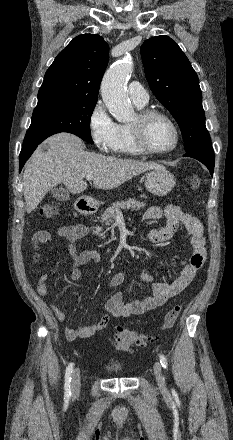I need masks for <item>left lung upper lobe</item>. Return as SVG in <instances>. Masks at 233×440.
<instances>
[{
  "label": "left lung upper lobe",
  "instance_id": "obj_1",
  "mask_svg": "<svg viewBox=\"0 0 233 440\" xmlns=\"http://www.w3.org/2000/svg\"><path fill=\"white\" fill-rule=\"evenodd\" d=\"M140 51L149 86L177 121L185 151L211 146L199 79L186 55L168 36L146 40Z\"/></svg>",
  "mask_w": 233,
  "mask_h": 440
}]
</instances>
